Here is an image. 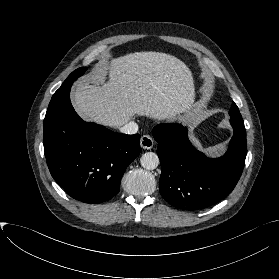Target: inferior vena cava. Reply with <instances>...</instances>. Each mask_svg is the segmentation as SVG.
<instances>
[{
  "mask_svg": "<svg viewBox=\"0 0 279 279\" xmlns=\"http://www.w3.org/2000/svg\"><path fill=\"white\" fill-rule=\"evenodd\" d=\"M120 131L125 134H135L138 131V125L134 121H129L120 127Z\"/></svg>",
  "mask_w": 279,
  "mask_h": 279,
  "instance_id": "602c4592",
  "label": "inferior vena cava"
}]
</instances>
